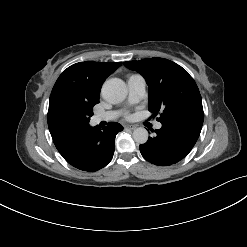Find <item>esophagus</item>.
Here are the masks:
<instances>
[{
	"instance_id": "1",
	"label": "esophagus",
	"mask_w": 247,
	"mask_h": 247,
	"mask_svg": "<svg viewBox=\"0 0 247 247\" xmlns=\"http://www.w3.org/2000/svg\"><path fill=\"white\" fill-rule=\"evenodd\" d=\"M125 128L129 130H135L137 127L135 125H126Z\"/></svg>"
}]
</instances>
